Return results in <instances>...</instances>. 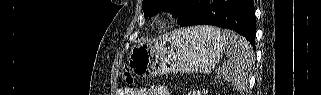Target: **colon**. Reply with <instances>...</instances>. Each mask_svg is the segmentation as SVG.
Returning <instances> with one entry per match:
<instances>
[{
  "label": "colon",
  "mask_w": 321,
  "mask_h": 95,
  "mask_svg": "<svg viewBox=\"0 0 321 95\" xmlns=\"http://www.w3.org/2000/svg\"><path fill=\"white\" fill-rule=\"evenodd\" d=\"M121 81L126 85H131L134 83V76L128 68H123L119 72Z\"/></svg>",
  "instance_id": "5ec220e1"
}]
</instances>
